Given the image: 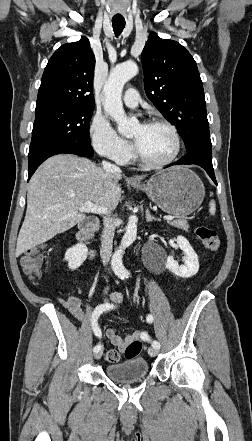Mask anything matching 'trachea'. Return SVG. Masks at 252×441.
Instances as JSON below:
<instances>
[{
  "label": "trachea",
  "mask_w": 252,
  "mask_h": 441,
  "mask_svg": "<svg viewBox=\"0 0 252 441\" xmlns=\"http://www.w3.org/2000/svg\"><path fill=\"white\" fill-rule=\"evenodd\" d=\"M112 25L114 33L118 37L125 27V20H112Z\"/></svg>",
  "instance_id": "3493384b"
}]
</instances>
